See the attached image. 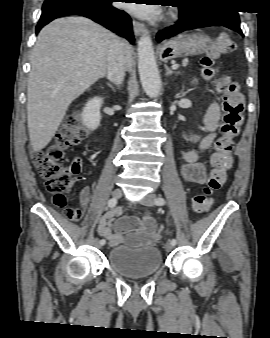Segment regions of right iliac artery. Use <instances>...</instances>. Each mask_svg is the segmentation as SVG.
<instances>
[{
	"instance_id": "obj_1",
	"label": "right iliac artery",
	"mask_w": 270,
	"mask_h": 338,
	"mask_svg": "<svg viewBox=\"0 0 270 338\" xmlns=\"http://www.w3.org/2000/svg\"><path fill=\"white\" fill-rule=\"evenodd\" d=\"M117 204V199H115V198H111L109 201H108V206L109 207H114L115 205ZM106 243V241L104 240V239H101L100 240V244L101 245H104Z\"/></svg>"
}]
</instances>
